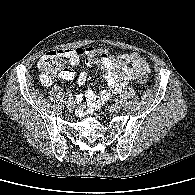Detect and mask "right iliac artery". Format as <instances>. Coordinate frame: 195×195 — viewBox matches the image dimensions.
Listing matches in <instances>:
<instances>
[{"label":"right iliac artery","instance_id":"obj_1","mask_svg":"<svg viewBox=\"0 0 195 195\" xmlns=\"http://www.w3.org/2000/svg\"><path fill=\"white\" fill-rule=\"evenodd\" d=\"M68 99H69V100L73 99V95H72V94H69V95H68Z\"/></svg>","mask_w":195,"mask_h":195}]
</instances>
